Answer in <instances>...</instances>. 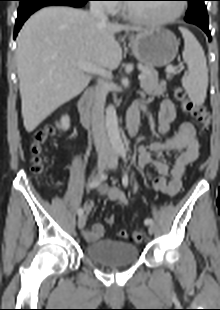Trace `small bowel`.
Listing matches in <instances>:
<instances>
[{
    "mask_svg": "<svg viewBox=\"0 0 220 310\" xmlns=\"http://www.w3.org/2000/svg\"><path fill=\"white\" fill-rule=\"evenodd\" d=\"M142 108V105L136 104L131 107L130 111L134 110L139 114ZM175 117L173 103L168 99L164 100L159 112V132L163 136V140L141 146L138 153L139 168L144 169L146 166L152 165L157 171V176L152 181L153 188L168 196H175L180 192L187 166L196 160L199 151L195 127L190 122L182 123L176 134L169 135L170 125ZM158 152H179L172 168L165 161L156 157L155 154ZM97 190L110 201L129 204L127 197L119 189L100 185ZM93 206V201H86L84 204L86 213H89ZM104 233L103 224L95 223L91 228L86 229L83 235L87 241L96 242L104 236Z\"/></svg>",
    "mask_w": 220,
    "mask_h": 310,
    "instance_id": "c3829d8e",
    "label": "small bowel"
}]
</instances>
